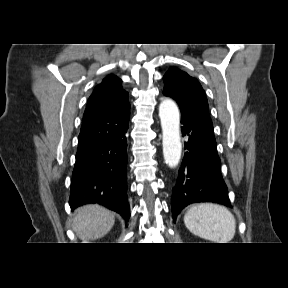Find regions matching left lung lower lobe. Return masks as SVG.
I'll return each mask as SVG.
<instances>
[{"mask_svg": "<svg viewBox=\"0 0 288 288\" xmlns=\"http://www.w3.org/2000/svg\"><path fill=\"white\" fill-rule=\"evenodd\" d=\"M181 124L187 142L171 198L174 222L181 210L191 203L214 202L231 207L212 123L201 116L182 113Z\"/></svg>", "mask_w": 288, "mask_h": 288, "instance_id": "1", "label": "left lung lower lobe"}]
</instances>
